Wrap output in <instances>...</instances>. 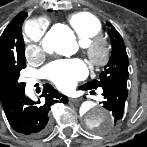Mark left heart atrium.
Wrapping results in <instances>:
<instances>
[{
	"label": "left heart atrium",
	"mask_w": 147,
	"mask_h": 147,
	"mask_svg": "<svg viewBox=\"0 0 147 147\" xmlns=\"http://www.w3.org/2000/svg\"><path fill=\"white\" fill-rule=\"evenodd\" d=\"M45 74L57 87L68 90L86 76L87 67L78 59L57 61L46 67Z\"/></svg>",
	"instance_id": "1"
}]
</instances>
